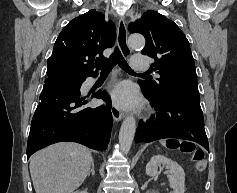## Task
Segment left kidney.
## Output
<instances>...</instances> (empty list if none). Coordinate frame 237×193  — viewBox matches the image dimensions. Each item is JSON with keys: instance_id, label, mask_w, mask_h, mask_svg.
<instances>
[{"instance_id": "1", "label": "left kidney", "mask_w": 237, "mask_h": 193, "mask_svg": "<svg viewBox=\"0 0 237 193\" xmlns=\"http://www.w3.org/2000/svg\"><path fill=\"white\" fill-rule=\"evenodd\" d=\"M161 165L167 169V176L173 193H184L185 173L183 168L175 161L163 155H155L146 165V174L150 177L156 176L158 167H161Z\"/></svg>"}]
</instances>
